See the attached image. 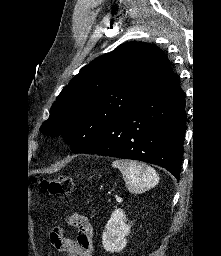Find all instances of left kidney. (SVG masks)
I'll return each instance as SVG.
<instances>
[{
	"label": "left kidney",
	"mask_w": 221,
	"mask_h": 256,
	"mask_svg": "<svg viewBox=\"0 0 221 256\" xmlns=\"http://www.w3.org/2000/svg\"><path fill=\"white\" fill-rule=\"evenodd\" d=\"M130 234V225L126 224V215L122 209H116L102 236V244L107 252H120L127 244L126 236Z\"/></svg>",
	"instance_id": "5707ae66"
}]
</instances>
